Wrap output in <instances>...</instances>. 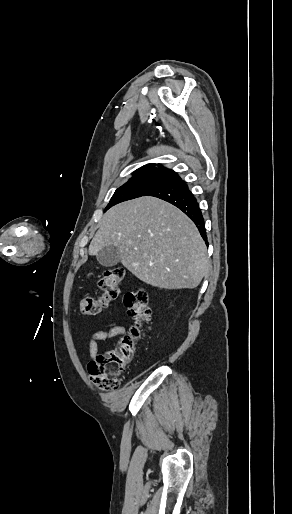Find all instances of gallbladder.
Wrapping results in <instances>:
<instances>
[{
	"label": "gallbladder",
	"instance_id": "bac80fb5",
	"mask_svg": "<svg viewBox=\"0 0 292 514\" xmlns=\"http://www.w3.org/2000/svg\"><path fill=\"white\" fill-rule=\"evenodd\" d=\"M96 258L101 266H116L121 260L120 252L116 246H103L96 254Z\"/></svg>",
	"mask_w": 292,
	"mask_h": 514
}]
</instances>
